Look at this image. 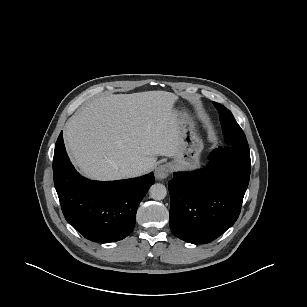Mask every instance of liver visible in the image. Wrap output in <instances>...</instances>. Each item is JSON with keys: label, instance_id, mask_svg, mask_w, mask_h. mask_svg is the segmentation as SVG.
<instances>
[{"label": "liver", "instance_id": "obj_1", "mask_svg": "<svg viewBox=\"0 0 307 307\" xmlns=\"http://www.w3.org/2000/svg\"><path fill=\"white\" fill-rule=\"evenodd\" d=\"M176 95L146 91L95 98L66 123L64 141L88 178L118 180L124 170L154 169L158 156L177 158L183 144ZM142 173V174H144Z\"/></svg>", "mask_w": 307, "mask_h": 307}]
</instances>
